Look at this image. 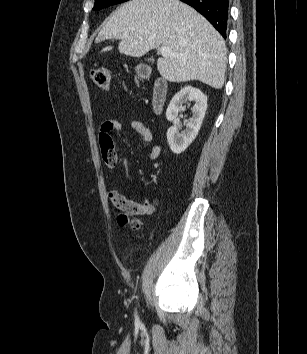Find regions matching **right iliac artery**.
<instances>
[{"instance_id": "right-iliac-artery-1", "label": "right iliac artery", "mask_w": 307, "mask_h": 354, "mask_svg": "<svg viewBox=\"0 0 307 354\" xmlns=\"http://www.w3.org/2000/svg\"><path fill=\"white\" fill-rule=\"evenodd\" d=\"M135 318H136V321H138V316L137 315H135Z\"/></svg>"}]
</instances>
